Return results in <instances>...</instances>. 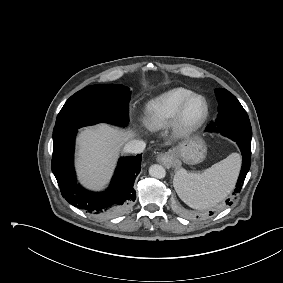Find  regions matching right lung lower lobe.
<instances>
[{"label":"right lung lower lobe","mask_w":283,"mask_h":283,"mask_svg":"<svg viewBox=\"0 0 283 283\" xmlns=\"http://www.w3.org/2000/svg\"><path fill=\"white\" fill-rule=\"evenodd\" d=\"M76 133L74 131L53 144L51 168L62 196L71 205L94 215L108 217L124 212L136 199L133 184L141 170V154L122 157L110 187L105 192H91L76 182L73 165Z\"/></svg>","instance_id":"obj_1"}]
</instances>
